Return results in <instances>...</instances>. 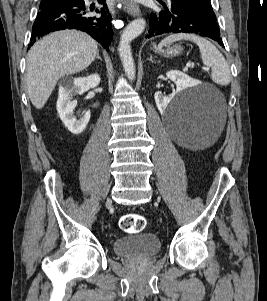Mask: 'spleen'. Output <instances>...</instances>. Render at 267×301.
Segmentation results:
<instances>
[{
    "label": "spleen",
    "instance_id": "3e777b00",
    "mask_svg": "<svg viewBox=\"0 0 267 301\" xmlns=\"http://www.w3.org/2000/svg\"><path fill=\"white\" fill-rule=\"evenodd\" d=\"M179 40H189L198 45L201 59L204 65L211 67V79L219 85H228L231 81L230 69L227 61L220 51L210 41L191 34H173L163 39L158 47L171 44Z\"/></svg>",
    "mask_w": 267,
    "mask_h": 301
}]
</instances>
